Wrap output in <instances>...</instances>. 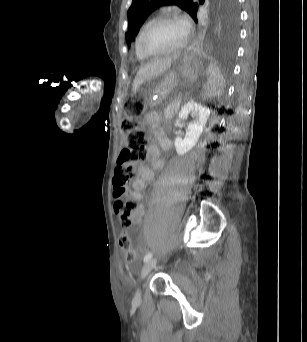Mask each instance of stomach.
<instances>
[{"label":"stomach","mask_w":307,"mask_h":342,"mask_svg":"<svg viewBox=\"0 0 307 342\" xmlns=\"http://www.w3.org/2000/svg\"><path fill=\"white\" fill-rule=\"evenodd\" d=\"M193 58L190 55L177 57L172 66L159 76L146 80L138 89L148 105L181 99L183 92L193 80Z\"/></svg>","instance_id":"obj_1"}]
</instances>
